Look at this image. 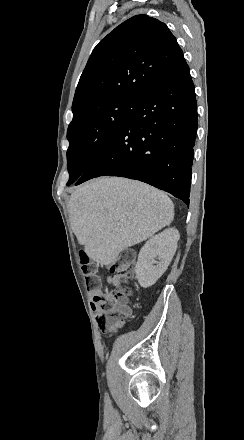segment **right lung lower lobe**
<instances>
[{
	"label": "right lung lower lobe",
	"mask_w": 244,
	"mask_h": 440,
	"mask_svg": "<svg viewBox=\"0 0 244 440\" xmlns=\"http://www.w3.org/2000/svg\"><path fill=\"white\" fill-rule=\"evenodd\" d=\"M196 130L195 89L183 62L145 92L76 185L104 175L126 177L167 191L189 206Z\"/></svg>",
	"instance_id": "right-lung-lower-lobe-1"
}]
</instances>
